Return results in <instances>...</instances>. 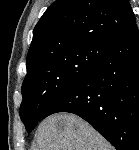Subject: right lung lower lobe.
Returning a JSON list of instances; mask_svg holds the SVG:
<instances>
[{
    "label": "right lung lower lobe",
    "mask_w": 139,
    "mask_h": 150,
    "mask_svg": "<svg viewBox=\"0 0 139 150\" xmlns=\"http://www.w3.org/2000/svg\"><path fill=\"white\" fill-rule=\"evenodd\" d=\"M69 112L90 123L116 150H139V32L136 22L93 68L63 92L43 119Z\"/></svg>",
    "instance_id": "1"
}]
</instances>
